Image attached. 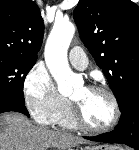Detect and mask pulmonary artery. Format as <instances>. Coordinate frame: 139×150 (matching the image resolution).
<instances>
[{"mask_svg":"<svg viewBox=\"0 0 139 150\" xmlns=\"http://www.w3.org/2000/svg\"><path fill=\"white\" fill-rule=\"evenodd\" d=\"M69 61L75 68L80 70L85 69L88 65L87 56L79 46H75L70 50Z\"/></svg>","mask_w":139,"mask_h":150,"instance_id":"e3ab8cb5","label":"pulmonary artery"}]
</instances>
